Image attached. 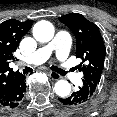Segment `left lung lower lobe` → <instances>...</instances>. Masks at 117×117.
Segmentation results:
<instances>
[{"label": "left lung lower lobe", "instance_id": "1", "mask_svg": "<svg viewBox=\"0 0 117 117\" xmlns=\"http://www.w3.org/2000/svg\"><path fill=\"white\" fill-rule=\"evenodd\" d=\"M92 95L86 86L79 87L68 97L58 98L59 101L66 106H82L90 101Z\"/></svg>", "mask_w": 117, "mask_h": 117}]
</instances>
